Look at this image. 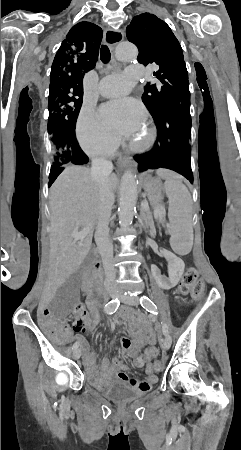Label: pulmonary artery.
Wrapping results in <instances>:
<instances>
[{
  "mask_svg": "<svg viewBox=\"0 0 241 450\" xmlns=\"http://www.w3.org/2000/svg\"><path fill=\"white\" fill-rule=\"evenodd\" d=\"M147 71L144 64H127L124 77L121 74H100L98 81L102 83L99 93L105 102H118L119 97L127 95L131 90L129 78H146Z\"/></svg>",
  "mask_w": 241,
  "mask_h": 450,
  "instance_id": "1",
  "label": "pulmonary artery"
}]
</instances>
